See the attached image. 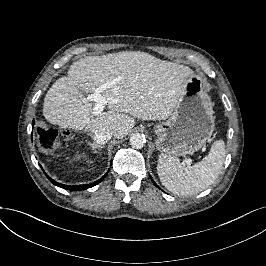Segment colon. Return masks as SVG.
<instances>
[{"label":"colon","mask_w":266,"mask_h":266,"mask_svg":"<svg viewBox=\"0 0 266 266\" xmlns=\"http://www.w3.org/2000/svg\"><path fill=\"white\" fill-rule=\"evenodd\" d=\"M38 144L44 151H53L59 145L58 131L49 125H40L37 127Z\"/></svg>","instance_id":"5ec220e1"}]
</instances>
